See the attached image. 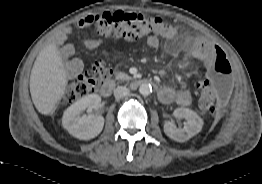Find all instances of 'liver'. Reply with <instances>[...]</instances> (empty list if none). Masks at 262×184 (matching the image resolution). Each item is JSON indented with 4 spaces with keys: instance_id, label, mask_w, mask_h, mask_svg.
<instances>
[{
    "instance_id": "obj_1",
    "label": "liver",
    "mask_w": 262,
    "mask_h": 184,
    "mask_svg": "<svg viewBox=\"0 0 262 184\" xmlns=\"http://www.w3.org/2000/svg\"><path fill=\"white\" fill-rule=\"evenodd\" d=\"M68 79L57 46L51 43L38 54L30 75L32 101L43 115H51L62 99Z\"/></svg>"
}]
</instances>
